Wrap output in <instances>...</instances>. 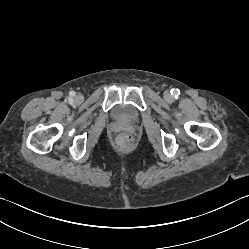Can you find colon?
<instances>
[{
  "instance_id": "colon-1",
  "label": "colon",
  "mask_w": 249,
  "mask_h": 249,
  "mask_svg": "<svg viewBox=\"0 0 249 249\" xmlns=\"http://www.w3.org/2000/svg\"><path fill=\"white\" fill-rule=\"evenodd\" d=\"M120 141L121 143H124V144H130L132 139L130 136L128 135H123L121 138H120Z\"/></svg>"
}]
</instances>
